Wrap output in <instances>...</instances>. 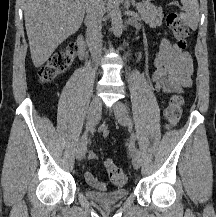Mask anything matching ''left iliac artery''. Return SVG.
Segmentation results:
<instances>
[{
	"instance_id": "44dca946",
	"label": "left iliac artery",
	"mask_w": 216,
	"mask_h": 217,
	"mask_svg": "<svg viewBox=\"0 0 216 217\" xmlns=\"http://www.w3.org/2000/svg\"><path fill=\"white\" fill-rule=\"evenodd\" d=\"M135 140H136V136L135 134H133L129 140V151L131 154L135 150Z\"/></svg>"
}]
</instances>
